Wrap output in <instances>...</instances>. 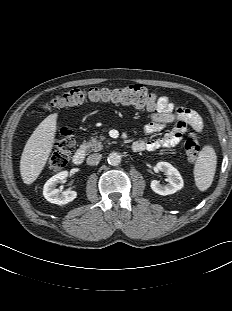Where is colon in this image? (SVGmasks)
<instances>
[{"label":"colon","instance_id":"1","mask_svg":"<svg viewBox=\"0 0 232 311\" xmlns=\"http://www.w3.org/2000/svg\"><path fill=\"white\" fill-rule=\"evenodd\" d=\"M86 101L113 102L145 110H154L157 107L158 99L155 94L148 92L146 88L140 85H131L114 89H72L55 97L46 105V108L57 109L78 106ZM74 149L75 141L73 131L70 128H63L50 156L49 168L52 170L63 168ZM184 150L189 162L192 163L197 159L200 145L197 135L194 132H189L184 144Z\"/></svg>","mask_w":232,"mask_h":311}]
</instances>
